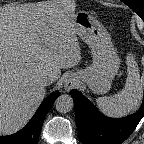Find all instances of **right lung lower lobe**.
<instances>
[{
	"label": "right lung lower lobe",
	"mask_w": 144,
	"mask_h": 144,
	"mask_svg": "<svg viewBox=\"0 0 144 144\" xmlns=\"http://www.w3.org/2000/svg\"><path fill=\"white\" fill-rule=\"evenodd\" d=\"M59 94V92H54L49 95L22 130L13 135L0 136V144H37L45 116Z\"/></svg>",
	"instance_id": "obj_1"
}]
</instances>
